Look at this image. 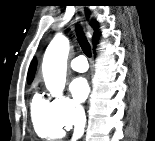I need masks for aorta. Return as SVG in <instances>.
Returning a JSON list of instances; mask_svg holds the SVG:
<instances>
[{"instance_id":"762f6f07","label":"aorta","mask_w":155,"mask_h":141,"mask_svg":"<svg viewBox=\"0 0 155 141\" xmlns=\"http://www.w3.org/2000/svg\"><path fill=\"white\" fill-rule=\"evenodd\" d=\"M69 40L57 34L48 45L42 63L46 88L53 97H61L66 83Z\"/></svg>"}]
</instances>
